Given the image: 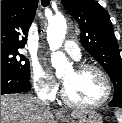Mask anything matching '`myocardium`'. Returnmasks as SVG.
<instances>
[{
	"mask_svg": "<svg viewBox=\"0 0 122 123\" xmlns=\"http://www.w3.org/2000/svg\"><path fill=\"white\" fill-rule=\"evenodd\" d=\"M74 69L78 72L84 71L87 69L96 70L103 77L106 83V94L102 99L96 102H92V103L81 102V101L73 99L68 93L67 88L63 84V88L61 90V96L65 103H67L68 105L74 106V107L96 108V107L102 106L110 99L112 92H113L112 81L109 75L107 74V72L102 67L96 64H93V63L83 62V63L77 64L74 67Z\"/></svg>",
	"mask_w": 122,
	"mask_h": 123,
	"instance_id": "obj_1",
	"label": "myocardium"
}]
</instances>
